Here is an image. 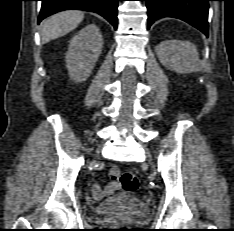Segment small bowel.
I'll return each instance as SVG.
<instances>
[{
	"mask_svg": "<svg viewBox=\"0 0 234 231\" xmlns=\"http://www.w3.org/2000/svg\"><path fill=\"white\" fill-rule=\"evenodd\" d=\"M113 170L114 168L110 170L111 181H109L104 187H101L99 184L92 185L91 193L95 200H100L106 196H109L119 189V184L115 182L113 180L114 178L112 177Z\"/></svg>",
	"mask_w": 234,
	"mask_h": 231,
	"instance_id": "small-bowel-1",
	"label": "small bowel"
}]
</instances>
